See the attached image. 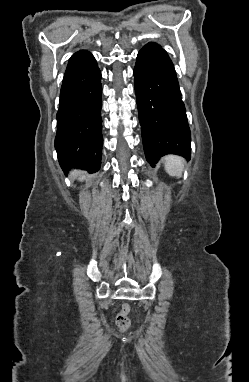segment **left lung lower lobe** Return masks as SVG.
Here are the masks:
<instances>
[{
  "label": "left lung lower lobe",
  "instance_id": "1",
  "mask_svg": "<svg viewBox=\"0 0 249 382\" xmlns=\"http://www.w3.org/2000/svg\"><path fill=\"white\" fill-rule=\"evenodd\" d=\"M135 93L146 159L191 156L190 129L173 63L157 43L146 44L134 68Z\"/></svg>",
  "mask_w": 249,
  "mask_h": 382
}]
</instances>
